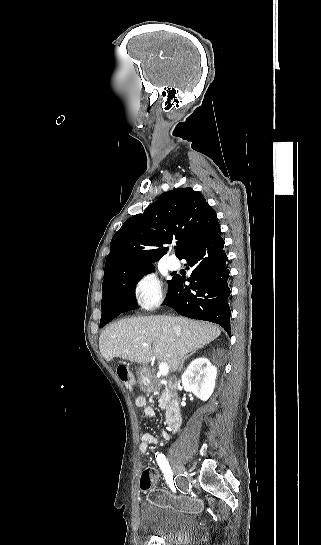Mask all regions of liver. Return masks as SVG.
I'll list each match as a JSON object with an SVG mask.
<instances>
[{
  "instance_id": "6515ba94",
  "label": "liver",
  "mask_w": 321,
  "mask_h": 545,
  "mask_svg": "<svg viewBox=\"0 0 321 545\" xmlns=\"http://www.w3.org/2000/svg\"><path fill=\"white\" fill-rule=\"evenodd\" d=\"M219 335V327L185 317H130L105 327L99 337V349L105 361L121 357L148 365L156 357L165 361L170 371H177L182 357ZM143 343L147 347H142Z\"/></svg>"
}]
</instances>
